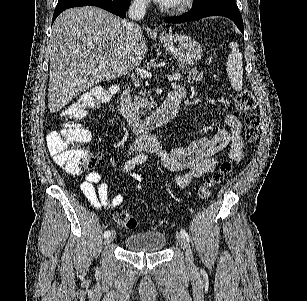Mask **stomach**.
Here are the masks:
<instances>
[{"label": "stomach", "instance_id": "stomach-1", "mask_svg": "<svg viewBox=\"0 0 307 301\" xmlns=\"http://www.w3.org/2000/svg\"><path fill=\"white\" fill-rule=\"evenodd\" d=\"M164 48L170 52L180 64H194L203 56L202 46L188 34L179 32H162L159 36Z\"/></svg>", "mask_w": 307, "mask_h": 301}]
</instances>
